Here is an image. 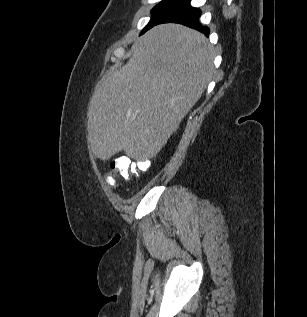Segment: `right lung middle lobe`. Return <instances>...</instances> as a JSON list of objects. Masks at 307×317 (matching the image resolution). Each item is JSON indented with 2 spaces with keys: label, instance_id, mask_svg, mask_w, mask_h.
I'll use <instances>...</instances> for the list:
<instances>
[{
  "label": "right lung middle lobe",
  "instance_id": "obj_1",
  "mask_svg": "<svg viewBox=\"0 0 307 317\" xmlns=\"http://www.w3.org/2000/svg\"><path fill=\"white\" fill-rule=\"evenodd\" d=\"M174 1L175 0H162L159 4H157L151 11L152 16L147 26L156 21L161 16V14L173 4Z\"/></svg>",
  "mask_w": 307,
  "mask_h": 317
}]
</instances>
